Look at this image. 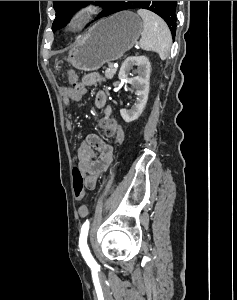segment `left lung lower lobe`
I'll return each instance as SVG.
<instances>
[{"label":"left lung lower lobe","mask_w":237,"mask_h":300,"mask_svg":"<svg viewBox=\"0 0 237 300\" xmlns=\"http://www.w3.org/2000/svg\"><path fill=\"white\" fill-rule=\"evenodd\" d=\"M119 2L120 1H116L112 6H111V8H110V14H113V13H116V12H119L118 11V5H119ZM109 14V15H110ZM174 36H175V34H174Z\"/></svg>","instance_id":"left-lung-lower-lobe-1"}]
</instances>
